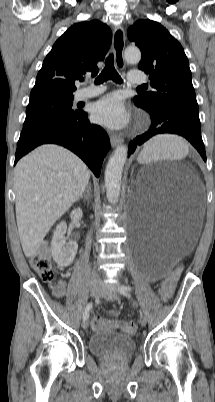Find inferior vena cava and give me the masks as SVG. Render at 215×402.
I'll return each instance as SVG.
<instances>
[{
    "instance_id": "obj_1",
    "label": "inferior vena cava",
    "mask_w": 215,
    "mask_h": 402,
    "mask_svg": "<svg viewBox=\"0 0 215 402\" xmlns=\"http://www.w3.org/2000/svg\"><path fill=\"white\" fill-rule=\"evenodd\" d=\"M92 282L97 283L99 281V275L96 272V270L94 269L92 271V277H91Z\"/></svg>"
}]
</instances>
